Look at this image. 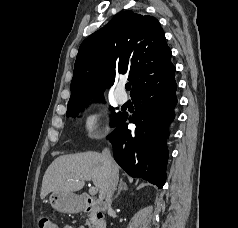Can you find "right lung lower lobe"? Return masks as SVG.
<instances>
[{
  "instance_id": "right-lung-lower-lobe-1",
  "label": "right lung lower lobe",
  "mask_w": 238,
  "mask_h": 228,
  "mask_svg": "<svg viewBox=\"0 0 238 228\" xmlns=\"http://www.w3.org/2000/svg\"><path fill=\"white\" fill-rule=\"evenodd\" d=\"M174 74L137 90L131 97L135 112L129 119L135 130L127 128L128 115L121 113L111 137L114 159L132 177L143 178L159 188L165 183L168 126L177 104ZM107 138H110L108 136Z\"/></svg>"
}]
</instances>
